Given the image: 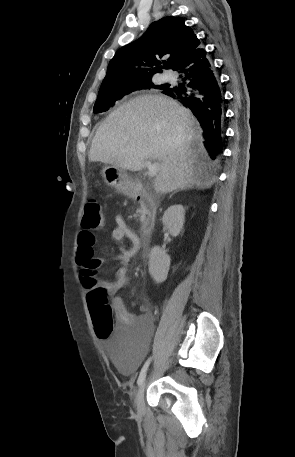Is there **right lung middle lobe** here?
I'll return each mask as SVG.
<instances>
[{"label":"right lung middle lobe","instance_id":"right-lung-middle-lobe-1","mask_svg":"<svg viewBox=\"0 0 295 457\" xmlns=\"http://www.w3.org/2000/svg\"><path fill=\"white\" fill-rule=\"evenodd\" d=\"M165 89L167 85H155L152 80H147L139 83L138 85H129L119 87L113 90L99 91L98 98L94 105V113L105 112L113 107L122 97L130 94L138 89Z\"/></svg>","mask_w":295,"mask_h":457}]
</instances>
